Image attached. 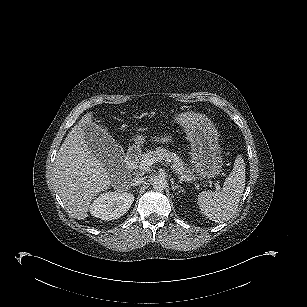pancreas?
I'll return each instance as SVG.
<instances>
[{
	"label": "pancreas",
	"mask_w": 307,
	"mask_h": 307,
	"mask_svg": "<svg viewBox=\"0 0 307 307\" xmlns=\"http://www.w3.org/2000/svg\"><path fill=\"white\" fill-rule=\"evenodd\" d=\"M146 157L154 158L157 161H162L170 164L172 169L180 174L189 175L194 172V170L191 169L188 164H186L177 154L161 147H157L154 151H148L147 153L142 154L139 158L140 162Z\"/></svg>",
	"instance_id": "obj_1"
}]
</instances>
